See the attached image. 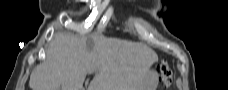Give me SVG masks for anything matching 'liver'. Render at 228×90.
Instances as JSON below:
<instances>
[{
	"label": "liver",
	"mask_w": 228,
	"mask_h": 90,
	"mask_svg": "<svg viewBox=\"0 0 228 90\" xmlns=\"http://www.w3.org/2000/svg\"><path fill=\"white\" fill-rule=\"evenodd\" d=\"M157 59L143 42L101 35L89 51L85 39L56 33L46 60L31 73L29 86L31 90H83L86 75L95 72L88 90H140Z\"/></svg>",
	"instance_id": "liver-1"
}]
</instances>
